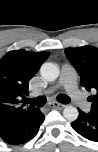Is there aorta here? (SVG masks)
<instances>
[{"label": "aorta", "mask_w": 98, "mask_h": 152, "mask_svg": "<svg viewBox=\"0 0 98 152\" xmlns=\"http://www.w3.org/2000/svg\"><path fill=\"white\" fill-rule=\"evenodd\" d=\"M59 67L54 63H44L40 68L41 76L47 81H55L59 77ZM79 112L77 108L69 105L63 110V116L69 120L74 121L78 118Z\"/></svg>", "instance_id": "obj_1"}]
</instances>
